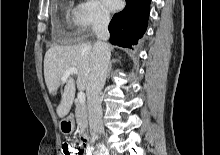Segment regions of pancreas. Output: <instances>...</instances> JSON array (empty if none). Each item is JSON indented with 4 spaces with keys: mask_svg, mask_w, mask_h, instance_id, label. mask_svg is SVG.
Returning a JSON list of instances; mask_svg holds the SVG:
<instances>
[{
    "mask_svg": "<svg viewBox=\"0 0 220 155\" xmlns=\"http://www.w3.org/2000/svg\"><path fill=\"white\" fill-rule=\"evenodd\" d=\"M75 117L80 132L82 133L88 126L87 105L85 103L78 102L76 104Z\"/></svg>",
    "mask_w": 220,
    "mask_h": 155,
    "instance_id": "pancreas-1",
    "label": "pancreas"
}]
</instances>
